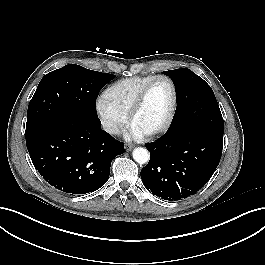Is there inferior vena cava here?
I'll return each mask as SVG.
<instances>
[{
  "instance_id": "602c4592",
  "label": "inferior vena cava",
  "mask_w": 265,
  "mask_h": 265,
  "mask_svg": "<svg viewBox=\"0 0 265 265\" xmlns=\"http://www.w3.org/2000/svg\"><path fill=\"white\" fill-rule=\"evenodd\" d=\"M103 129L110 133V134H118L119 133V128L115 123L109 122V121H104L102 123Z\"/></svg>"
}]
</instances>
